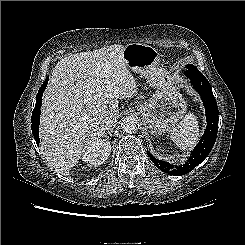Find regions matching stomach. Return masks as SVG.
Returning a JSON list of instances; mask_svg holds the SVG:
<instances>
[{
	"mask_svg": "<svg viewBox=\"0 0 245 245\" xmlns=\"http://www.w3.org/2000/svg\"><path fill=\"white\" fill-rule=\"evenodd\" d=\"M123 59L129 70L144 76L156 89L148 101L138 106L142 120L148 124L152 134L170 132L187 110L179 80L159 68L160 55L152 46L128 44L123 51Z\"/></svg>",
	"mask_w": 245,
	"mask_h": 245,
	"instance_id": "0dacf381",
	"label": "stomach"
}]
</instances>
